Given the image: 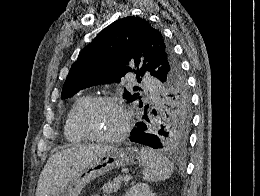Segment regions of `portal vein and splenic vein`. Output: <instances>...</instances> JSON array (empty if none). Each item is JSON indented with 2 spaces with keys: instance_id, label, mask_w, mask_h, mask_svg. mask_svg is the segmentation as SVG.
I'll return each instance as SVG.
<instances>
[{
  "instance_id": "obj_1",
  "label": "portal vein and splenic vein",
  "mask_w": 260,
  "mask_h": 196,
  "mask_svg": "<svg viewBox=\"0 0 260 196\" xmlns=\"http://www.w3.org/2000/svg\"><path fill=\"white\" fill-rule=\"evenodd\" d=\"M131 180V176H124V182H129Z\"/></svg>"
}]
</instances>
